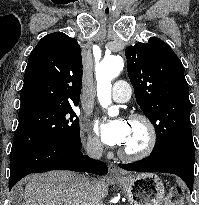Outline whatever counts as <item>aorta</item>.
<instances>
[{"mask_svg": "<svg viewBox=\"0 0 199 205\" xmlns=\"http://www.w3.org/2000/svg\"><path fill=\"white\" fill-rule=\"evenodd\" d=\"M124 67V62L121 56L111 55L105 57L96 66L97 80V97L103 107H107L111 103V81L117 77ZM110 112L117 113L116 108H111Z\"/></svg>", "mask_w": 199, "mask_h": 205, "instance_id": "1", "label": "aorta"}]
</instances>
